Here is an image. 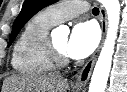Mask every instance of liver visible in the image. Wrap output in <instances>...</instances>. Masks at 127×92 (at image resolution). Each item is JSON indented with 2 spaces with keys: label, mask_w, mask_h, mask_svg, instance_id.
<instances>
[{
  "label": "liver",
  "mask_w": 127,
  "mask_h": 92,
  "mask_svg": "<svg viewBox=\"0 0 127 92\" xmlns=\"http://www.w3.org/2000/svg\"><path fill=\"white\" fill-rule=\"evenodd\" d=\"M68 87L61 77L12 75L5 79L3 92H67Z\"/></svg>",
  "instance_id": "obj_1"
}]
</instances>
